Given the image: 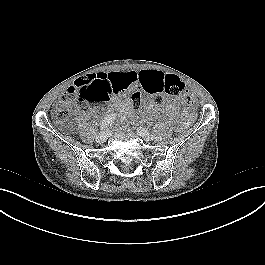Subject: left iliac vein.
Returning a JSON list of instances; mask_svg holds the SVG:
<instances>
[{
    "mask_svg": "<svg viewBox=\"0 0 265 265\" xmlns=\"http://www.w3.org/2000/svg\"><path fill=\"white\" fill-rule=\"evenodd\" d=\"M137 133L144 140H146V141H150L151 140V135H150L149 131L146 130L145 128H138L137 129Z\"/></svg>",
    "mask_w": 265,
    "mask_h": 265,
    "instance_id": "4c4485c4",
    "label": "left iliac vein"
}]
</instances>
